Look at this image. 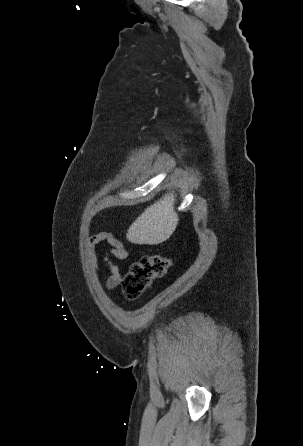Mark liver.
I'll use <instances>...</instances> for the list:
<instances>
[{"instance_id":"1","label":"liver","mask_w":303,"mask_h":446,"mask_svg":"<svg viewBox=\"0 0 303 446\" xmlns=\"http://www.w3.org/2000/svg\"><path fill=\"white\" fill-rule=\"evenodd\" d=\"M175 197L173 193L165 194L147 207L129 227L127 240L140 245H156L166 241L175 231L179 221L174 210Z\"/></svg>"}]
</instances>
